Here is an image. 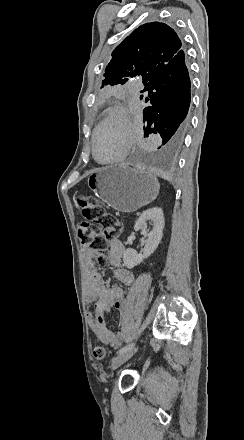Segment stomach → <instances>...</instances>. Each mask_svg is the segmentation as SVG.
<instances>
[{"instance_id": "1", "label": "stomach", "mask_w": 244, "mask_h": 440, "mask_svg": "<svg viewBox=\"0 0 244 440\" xmlns=\"http://www.w3.org/2000/svg\"><path fill=\"white\" fill-rule=\"evenodd\" d=\"M88 188L118 212H136L158 196L159 182L149 170L114 164L92 172Z\"/></svg>"}]
</instances>
